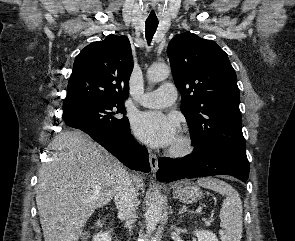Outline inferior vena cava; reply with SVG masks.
Instances as JSON below:
<instances>
[{
	"mask_svg": "<svg viewBox=\"0 0 295 241\" xmlns=\"http://www.w3.org/2000/svg\"><path fill=\"white\" fill-rule=\"evenodd\" d=\"M115 204L119 216L126 220V226L131 229L133 215L137 201V190L132 179L124 168L119 169L114 178Z\"/></svg>",
	"mask_w": 295,
	"mask_h": 241,
	"instance_id": "inferior-vena-cava-1",
	"label": "inferior vena cava"
}]
</instances>
